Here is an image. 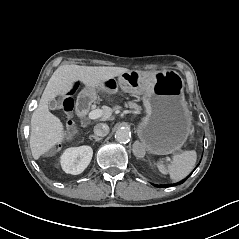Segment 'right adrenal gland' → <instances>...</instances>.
<instances>
[{
    "label": "right adrenal gland",
    "instance_id": "obj_1",
    "mask_svg": "<svg viewBox=\"0 0 239 239\" xmlns=\"http://www.w3.org/2000/svg\"><path fill=\"white\" fill-rule=\"evenodd\" d=\"M91 138L94 139L95 142H99V141H101L103 139V137H98L96 135H92V136L89 137V139H91Z\"/></svg>",
    "mask_w": 239,
    "mask_h": 239
}]
</instances>
